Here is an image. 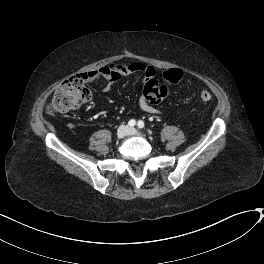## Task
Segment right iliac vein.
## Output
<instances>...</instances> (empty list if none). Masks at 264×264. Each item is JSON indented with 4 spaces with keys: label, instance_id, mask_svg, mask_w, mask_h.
<instances>
[{
    "label": "right iliac vein",
    "instance_id": "right-iliac-vein-1",
    "mask_svg": "<svg viewBox=\"0 0 264 264\" xmlns=\"http://www.w3.org/2000/svg\"><path fill=\"white\" fill-rule=\"evenodd\" d=\"M129 132V128L127 126H120L117 130V138L122 139L124 138Z\"/></svg>",
    "mask_w": 264,
    "mask_h": 264
}]
</instances>
